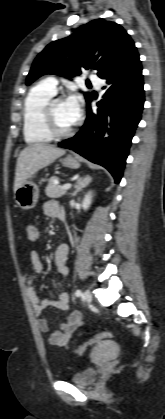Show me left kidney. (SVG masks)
Wrapping results in <instances>:
<instances>
[{
	"mask_svg": "<svg viewBox=\"0 0 165 419\" xmlns=\"http://www.w3.org/2000/svg\"><path fill=\"white\" fill-rule=\"evenodd\" d=\"M92 198H93V194H92V192L90 191V192H88L86 195H85V197H84V199H83V201H82V208L84 209V210H87L89 207H90V205H91V203H92Z\"/></svg>",
	"mask_w": 165,
	"mask_h": 419,
	"instance_id": "5707ae66",
	"label": "left kidney"
}]
</instances>
